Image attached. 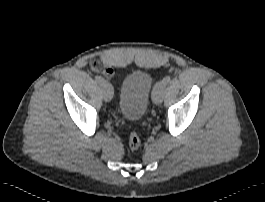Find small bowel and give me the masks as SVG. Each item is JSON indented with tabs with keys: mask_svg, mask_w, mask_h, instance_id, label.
I'll use <instances>...</instances> for the list:
<instances>
[{
	"mask_svg": "<svg viewBox=\"0 0 265 202\" xmlns=\"http://www.w3.org/2000/svg\"><path fill=\"white\" fill-rule=\"evenodd\" d=\"M91 66L95 71L102 72L107 77H112L114 75V70L110 66H101L97 61L93 60Z\"/></svg>",
	"mask_w": 265,
	"mask_h": 202,
	"instance_id": "small-bowel-1",
	"label": "small bowel"
}]
</instances>
